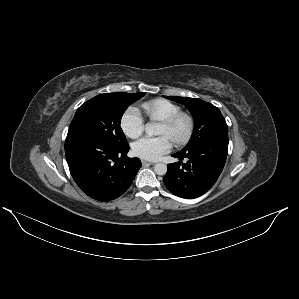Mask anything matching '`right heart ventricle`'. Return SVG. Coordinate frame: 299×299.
Instances as JSON below:
<instances>
[{"instance_id":"right-heart-ventricle-1","label":"right heart ventricle","mask_w":299,"mask_h":299,"mask_svg":"<svg viewBox=\"0 0 299 299\" xmlns=\"http://www.w3.org/2000/svg\"><path fill=\"white\" fill-rule=\"evenodd\" d=\"M150 120L163 121L181 112L179 105L165 99H155L141 105Z\"/></svg>"}]
</instances>
